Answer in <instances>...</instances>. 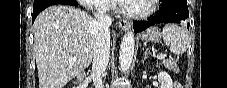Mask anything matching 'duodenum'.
Here are the masks:
<instances>
[{
	"label": "duodenum",
	"mask_w": 227,
	"mask_h": 88,
	"mask_svg": "<svg viewBox=\"0 0 227 88\" xmlns=\"http://www.w3.org/2000/svg\"><path fill=\"white\" fill-rule=\"evenodd\" d=\"M86 87H87L86 77L82 76L79 79V88H86Z\"/></svg>",
	"instance_id": "410a0bca"
}]
</instances>
